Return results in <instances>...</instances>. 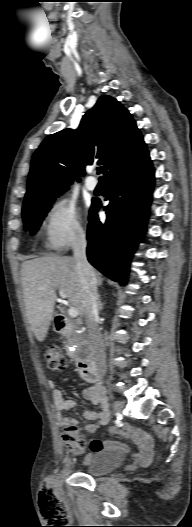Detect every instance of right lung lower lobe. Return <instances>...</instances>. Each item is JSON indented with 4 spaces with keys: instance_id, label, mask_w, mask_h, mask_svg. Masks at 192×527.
<instances>
[{
    "instance_id": "1",
    "label": "right lung lower lobe",
    "mask_w": 192,
    "mask_h": 527,
    "mask_svg": "<svg viewBox=\"0 0 192 527\" xmlns=\"http://www.w3.org/2000/svg\"><path fill=\"white\" fill-rule=\"evenodd\" d=\"M107 191L105 223L93 201L87 230L89 262L113 281L125 285L131 257L142 239L154 187V169L143 142L126 160L104 176Z\"/></svg>"
}]
</instances>
